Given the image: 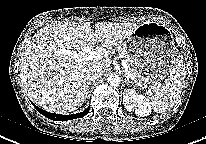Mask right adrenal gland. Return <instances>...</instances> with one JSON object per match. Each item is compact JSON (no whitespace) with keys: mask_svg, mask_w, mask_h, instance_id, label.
<instances>
[{"mask_svg":"<svg viewBox=\"0 0 206 144\" xmlns=\"http://www.w3.org/2000/svg\"><path fill=\"white\" fill-rule=\"evenodd\" d=\"M91 82H87V94L89 92V86H90Z\"/></svg>","mask_w":206,"mask_h":144,"instance_id":"1","label":"right adrenal gland"}]
</instances>
